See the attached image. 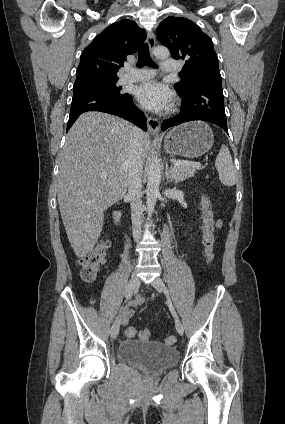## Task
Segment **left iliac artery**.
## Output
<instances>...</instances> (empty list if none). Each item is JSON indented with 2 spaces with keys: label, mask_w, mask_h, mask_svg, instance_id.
<instances>
[{
  "label": "left iliac artery",
  "mask_w": 285,
  "mask_h": 424,
  "mask_svg": "<svg viewBox=\"0 0 285 424\" xmlns=\"http://www.w3.org/2000/svg\"><path fill=\"white\" fill-rule=\"evenodd\" d=\"M165 294L167 295V302H168V305H169L170 311H171V313H172L173 317H174L175 319H177V318H178V316H177V313H176V311H175V309H174V307H173V305H172L171 299L169 298V292H168V290H167V289H165Z\"/></svg>",
  "instance_id": "44dca946"
}]
</instances>
